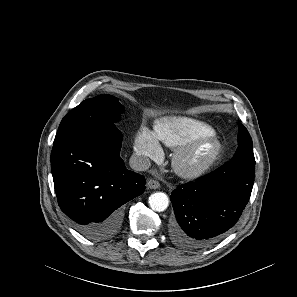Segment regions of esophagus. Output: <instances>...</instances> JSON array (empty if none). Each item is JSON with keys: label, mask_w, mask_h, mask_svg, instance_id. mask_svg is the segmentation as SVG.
Segmentation results:
<instances>
[{"label": "esophagus", "mask_w": 297, "mask_h": 297, "mask_svg": "<svg viewBox=\"0 0 297 297\" xmlns=\"http://www.w3.org/2000/svg\"><path fill=\"white\" fill-rule=\"evenodd\" d=\"M146 186H147L149 189H158V188L160 187V183H159L157 180L149 179V180L147 181Z\"/></svg>", "instance_id": "34e87169"}]
</instances>
